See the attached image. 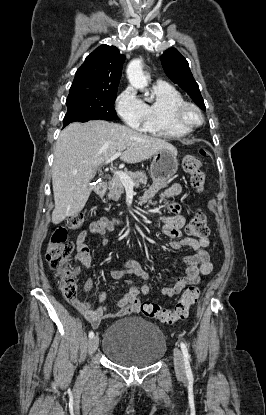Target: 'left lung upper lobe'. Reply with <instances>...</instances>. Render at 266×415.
<instances>
[{"mask_svg": "<svg viewBox=\"0 0 266 415\" xmlns=\"http://www.w3.org/2000/svg\"><path fill=\"white\" fill-rule=\"evenodd\" d=\"M162 66L167 76L184 89L192 100L206 110L198 84L196 83L187 60L175 48L166 50L161 56Z\"/></svg>", "mask_w": 266, "mask_h": 415, "instance_id": "obj_1", "label": "left lung upper lobe"}]
</instances>
